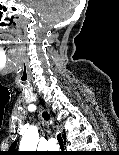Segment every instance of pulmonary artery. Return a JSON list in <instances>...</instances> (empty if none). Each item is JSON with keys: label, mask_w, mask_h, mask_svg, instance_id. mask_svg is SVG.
<instances>
[{"label": "pulmonary artery", "mask_w": 119, "mask_h": 155, "mask_svg": "<svg viewBox=\"0 0 119 155\" xmlns=\"http://www.w3.org/2000/svg\"><path fill=\"white\" fill-rule=\"evenodd\" d=\"M49 146L48 149L49 150H56L58 147L56 146L55 140L54 139H50L48 142Z\"/></svg>", "instance_id": "pulmonary-artery-1"}]
</instances>
